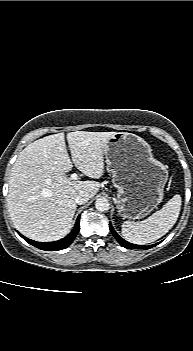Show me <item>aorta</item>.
Here are the masks:
<instances>
[{
  "mask_svg": "<svg viewBox=\"0 0 193 351\" xmlns=\"http://www.w3.org/2000/svg\"><path fill=\"white\" fill-rule=\"evenodd\" d=\"M95 207L98 211L105 212V211H108L110 209V204L106 198L101 197L95 201Z\"/></svg>",
  "mask_w": 193,
  "mask_h": 351,
  "instance_id": "1",
  "label": "aorta"
}]
</instances>
